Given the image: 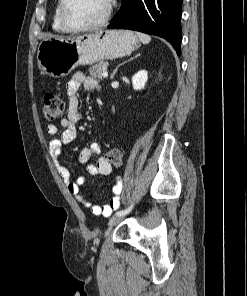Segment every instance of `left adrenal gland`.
I'll return each instance as SVG.
<instances>
[{
    "mask_svg": "<svg viewBox=\"0 0 247 296\" xmlns=\"http://www.w3.org/2000/svg\"><path fill=\"white\" fill-rule=\"evenodd\" d=\"M139 56H140V54H137V55H135L134 57H131L129 60L124 61L123 63L119 64V65L115 68V70L113 71V73L111 74V79H114V76H115V74L117 73L118 68H119L120 66L124 65L125 63H127V62H129V61H132L133 59H135V58H137V57H139Z\"/></svg>",
    "mask_w": 247,
    "mask_h": 296,
    "instance_id": "left-adrenal-gland-1",
    "label": "left adrenal gland"
}]
</instances>
